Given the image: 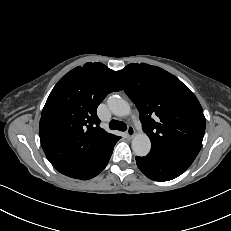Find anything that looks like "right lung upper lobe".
<instances>
[{
  "label": "right lung upper lobe",
  "mask_w": 231,
  "mask_h": 231,
  "mask_svg": "<svg viewBox=\"0 0 231 231\" xmlns=\"http://www.w3.org/2000/svg\"><path fill=\"white\" fill-rule=\"evenodd\" d=\"M116 72L88 62L64 75L51 91L42 111V148L60 173L77 168L101 153L118 136L100 128L97 107L122 87Z\"/></svg>",
  "instance_id": "right-lung-upper-lobe-1"
}]
</instances>
